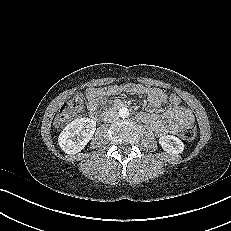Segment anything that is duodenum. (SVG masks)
<instances>
[{
    "mask_svg": "<svg viewBox=\"0 0 231 231\" xmlns=\"http://www.w3.org/2000/svg\"><path fill=\"white\" fill-rule=\"evenodd\" d=\"M125 106V103L124 102H121V101H117V102H115V104H114V107H116V108H122V107H124ZM112 111V108L111 107H108V108H106V109H104L103 110V115H105V114H109L110 112ZM97 112V111H96ZM96 112L95 113H93V115H94V118L95 119H100V116H97L96 115Z\"/></svg>",
    "mask_w": 231,
    "mask_h": 231,
    "instance_id": "obj_1",
    "label": "duodenum"
}]
</instances>
